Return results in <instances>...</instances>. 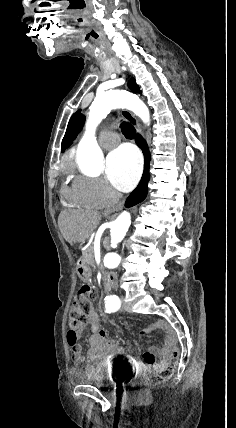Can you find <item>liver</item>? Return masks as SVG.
<instances>
[{"mask_svg":"<svg viewBox=\"0 0 236 428\" xmlns=\"http://www.w3.org/2000/svg\"><path fill=\"white\" fill-rule=\"evenodd\" d=\"M100 220L98 212H61L58 226L64 240L76 244L88 240Z\"/></svg>","mask_w":236,"mask_h":428,"instance_id":"1","label":"liver"}]
</instances>
